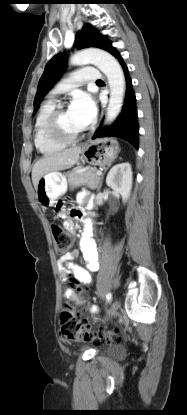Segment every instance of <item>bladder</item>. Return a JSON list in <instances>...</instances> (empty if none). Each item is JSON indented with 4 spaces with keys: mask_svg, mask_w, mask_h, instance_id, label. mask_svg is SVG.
I'll return each mask as SVG.
<instances>
[{
    "mask_svg": "<svg viewBox=\"0 0 187 415\" xmlns=\"http://www.w3.org/2000/svg\"><path fill=\"white\" fill-rule=\"evenodd\" d=\"M105 353L112 357H120L123 355V349L121 346L113 344L106 348Z\"/></svg>",
    "mask_w": 187,
    "mask_h": 415,
    "instance_id": "31cf9c89",
    "label": "bladder"
}]
</instances>
